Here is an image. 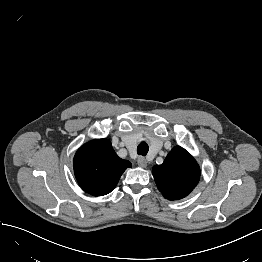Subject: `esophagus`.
Instances as JSON below:
<instances>
[{"label":"esophagus","instance_id":"esophagus-1","mask_svg":"<svg viewBox=\"0 0 262 262\" xmlns=\"http://www.w3.org/2000/svg\"><path fill=\"white\" fill-rule=\"evenodd\" d=\"M137 164L142 167V168H146L147 167V164H148V161L145 157H142L140 156L137 160Z\"/></svg>","mask_w":262,"mask_h":262}]
</instances>
